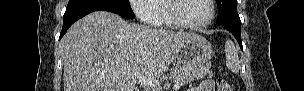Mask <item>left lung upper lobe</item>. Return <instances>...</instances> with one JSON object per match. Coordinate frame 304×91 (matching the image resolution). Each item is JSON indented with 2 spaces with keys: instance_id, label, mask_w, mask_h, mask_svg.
<instances>
[{
  "instance_id": "5c2ea615",
  "label": "left lung upper lobe",
  "mask_w": 304,
  "mask_h": 91,
  "mask_svg": "<svg viewBox=\"0 0 304 91\" xmlns=\"http://www.w3.org/2000/svg\"><path fill=\"white\" fill-rule=\"evenodd\" d=\"M216 3L218 5V25L232 21H240L237 12V0H216Z\"/></svg>"
}]
</instances>
